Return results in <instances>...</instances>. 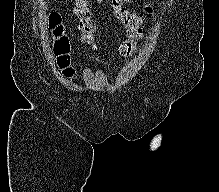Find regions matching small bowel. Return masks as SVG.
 Wrapping results in <instances>:
<instances>
[{
	"label": "small bowel",
	"instance_id": "c3829d8e",
	"mask_svg": "<svg viewBox=\"0 0 219 192\" xmlns=\"http://www.w3.org/2000/svg\"><path fill=\"white\" fill-rule=\"evenodd\" d=\"M134 0H112V10L116 18L121 21L127 28L128 38L136 39L141 34V18L135 13V11L128 8L127 4ZM146 11H151V6L148 4L145 6ZM73 13L79 19V29L82 31V40L85 43L91 44L94 41V27L90 30H86L83 26L84 18H89V10L87 6L76 3V7Z\"/></svg>",
	"mask_w": 219,
	"mask_h": 192
}]
</instances>
